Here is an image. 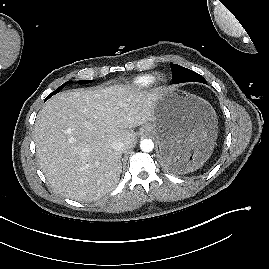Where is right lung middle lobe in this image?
<instances>
[{
  "label": "right lung middle lobe",
  "mask_w": 269,
  "mask_h": 269,
  "mask_svg": "<svg viewBox=\"0 0 269 269\" xmlns=\"http://www.w3.org/2000/svg\"><path fill=\"white\" fill-rule=\"evenodd\" d=\"M90 82H91V80L78 81V83H80V84H86V83H90ZM68 83H70V82H66V83L62 84L59 88H57L55 91H53V92L46 98V100L49 99L50 97H52L53 95L57 94V93H58L60 90H62Z\"/></svg>",
  "instance_id": "obj_1"
}]
</instances>
